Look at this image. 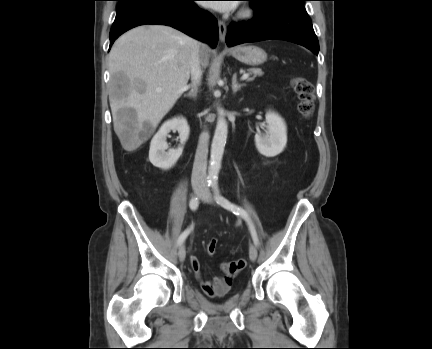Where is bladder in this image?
Returning a JSON list of instances; mask_svg holds the SVG:
<instances>
[{"mask_svg":"<svg viewBox=\"0 0 432 349\" xmlns=\"http://www.w3.org/2000/svg\"><path fill=\"white\" fill-rule=\"evenodd\" d=\"M233 297H234V294H229V293H227V294H225V295L219 297V302H220V303H213V302H212L211 300H209L208 298L202 296V298L205 300V302H206L207 304H209L210 306H213L214 308H220V307H222V305H223L224 302L228 301L229 299H232Z\"/></svg>","mask_w":432,"mask_h":349,"instance_id":"bladder-1","label":"bladder"}]
</instances>
